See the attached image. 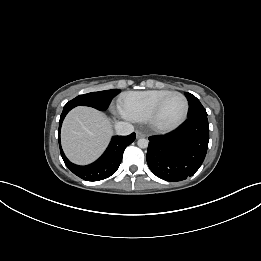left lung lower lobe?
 I'll list each match as a JSON object with an SVG mask.
<instances>
[{"label": "left lung lower lobe", "instance_id": "obj_1", "mask_svg": "<svg viewBox=\"0 0 261 261\" xmlns=\"http://www.w3.org/2000/svg\"><path fill=\"white\" fill-rule=\"evenodd\" d=\"M147 163L150 170L166 181H181L202 165L209 142L207 115L188 118L176 130L149 137Z\"/></svg>", "mask_w": 261, "mask_h": 261}]
</instances>
